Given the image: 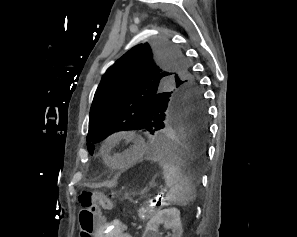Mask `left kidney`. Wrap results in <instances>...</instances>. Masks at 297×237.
Here are the masks:
<instances>
[{
  "label": "left kidney",
  "instance_id": "left-kidney-1",
  "mask_svg": "<svg viewBox=\"0 0 297 237\" xmlns=\"http://www.w3.org/2000/svg\"><path fill=\"white\" fill-rule=\"evenodd\" d=\"M160 224H164L166 229L172 230V233H168V236L181 237L183 229L180 211L177 208H167L158 211L147 223L146 230L142 237H160L158 231Z\"/></svg>",
  "mask_w": 297,
  "mask_h": 237
}]
</instances>
